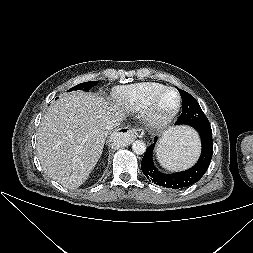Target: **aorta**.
<instances>
[{"mask_svg":"<svg viewBox=\"0 0 253 253\" xmlns=\"http://www.w3.org/2000/svg\"><path fill=\"white\" fill-rule=\"evenodd\" d=\"M132 150L137 155H142L146 151V144L141 140H136L132 144Z\"/></svg>","mask_w":253,"mask_h":253,"instance_id":"1","label":"aorta"}]
</instances>
